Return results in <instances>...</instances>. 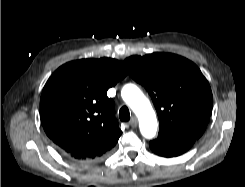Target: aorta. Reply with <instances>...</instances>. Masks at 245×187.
Instances as JSON below:
<instances>
[{
    "label": "aorta",
    "instance_id": "762f6f07",
    "mask_svg": "<svg viewBox=\"0 0 245 187\" xmlns=\"http://www.w3.org/2000/svg\"><path fill=\"white\" fill-rule=\"evenodd\" d=\"M121 96L137 115L141 134L148 139L154 137L158 124L148 98L133 84H126L122 88Z\"/></svg>",
    "mask_w": 245,
    "mask_h": 187
}]
</instances>
